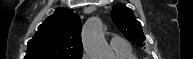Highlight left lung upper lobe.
<instances>
[{"label":"left lung upper lobe","instance_id":"1","mask_svg":"<svg viewBox=\"0 0 193 59\" xmlns=\"http://www.w3.org/2000/svg\"><path fill=\"white\" fill-rule=\"evenodd\" d=\"M111 18L125 37L137 46H143L145 36L142 31L141 23L135 19L133 11L123 4L113 6L110 12Z\"/></svg>","mask_w":193,"mask_h":59}]
</instances>
